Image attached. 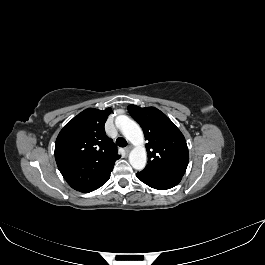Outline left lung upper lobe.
Wrapping results in <instances>:
<instances>
[{
    "label": "left lung upper lobe",
    "mask_w": 265,
    "mask_h": 265,
    "mask_svg": "<svg viewBox=\"0 0 265 265\" xmlns=\"http://www.w3.org/2000/svg\"><path fill=\"white\" fill-rule=\"evenodd\" d=\"M128 111L141 126L148 141V164L142 171L154 175L183 177L189 153L181 131L155 107L129 105Z\"/></svg>",
    "instance_id": "left-lung-upper-lobe-1"
}]
</instances>
